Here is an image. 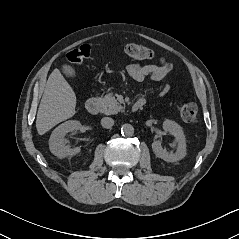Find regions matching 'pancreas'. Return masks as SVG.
Here are the masks:
<instances>
[{
    "instance_id": "obj_1",
    "label": "pancreas",
    "mask_w": 239,
    "mask_h": 239,
    "mask_svg": "<svg viewBox=\"0 0 239 239\" xmlns=\"http://www.w3.org/2000/svg\"><path fill=\"white\" fill-rule=\"evenodd\" d=\"M100 103L101 112L106 115H113L121 110V106L112 93L106 94L103 98H100Z\"/></svg>"
}]
</instances>
